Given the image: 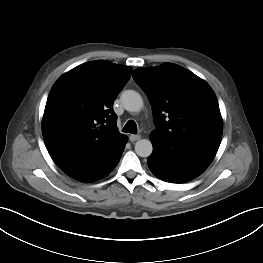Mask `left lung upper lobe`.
<instances>
[{"label": "left lung upper lobe", "mask_w": 263, "mask_h": 263, "mask_svg": "<svg viewBox=\"0 0 263 263\" xmlns=\"http://www.w3.org/2000/svg\"><path fill=\"white\" fill-rule=\"evenodd\" d=\"M133 79L152 105L151 135L219 148L223 123L218 101L201 78L172 63L138 68Z\"/></svg>", "instance_id": "5c2ea615"}]
</instances>
